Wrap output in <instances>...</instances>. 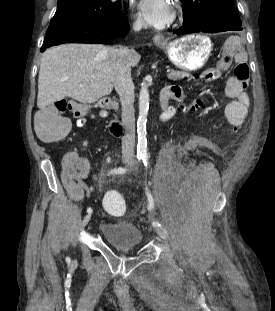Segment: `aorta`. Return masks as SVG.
Instances as JSON below:
<instances>
[{"label":"aorta","instance_id":"1","mask_svg":"<svg viewBox=\"0 0 275 311\" xmlns=\"http://www.w3.org/2000/svg\"><path fill=\"white\" fill-rule=\"evenodd\" d=\"M148 109H149V91L147 84L143 82L141 84V90L139 93V117L137 121L139 153H145L147 149L146 122H147Z\"/></svg>","mask_w":275,"mask_h":311}]
</instances>
